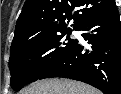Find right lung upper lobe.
Wrapping results in <instances>:
<instances>
[{"label": "right lung upper lobe", "mask_w": 121, "mask_h": 94, "mask_svg": "<svg viewBox=\"0 0 121 94\" xmlns=\"http://www.w3.org/2000/svg\"><path fill=\"white\" fill-rule=\"evenodd\" d=\"M114 0H26L16 23L12 45L27 34L56 32L67 28L73 19V29H78L87 18L108 9ZM75 10V11H74Z\"/></svg>", "instance_id": "obj_1"}]
</instances>
